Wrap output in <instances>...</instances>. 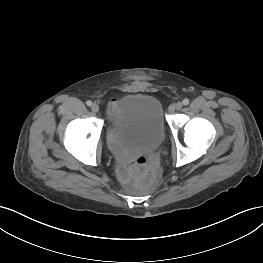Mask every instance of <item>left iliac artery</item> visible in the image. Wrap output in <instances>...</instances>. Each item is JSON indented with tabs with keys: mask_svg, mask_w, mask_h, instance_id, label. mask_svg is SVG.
<instances>
[{
	"mask_svg": "<svg viewBox=\"0 0 263 263\" xmlns=\"http://www.w3.org/2000/svg\"><path fill=\"white\" fill-rule=\"evenodd\" d=\"M182 103H183V105H188L189 104V99H184L183 101H182Z\"/></svg>",
	"mask_w": 263,
	"mask_h": 263,
	"instance_id": "left-iliac-artery-1",
	"label": "left iliac artery"
}]
</instances>
